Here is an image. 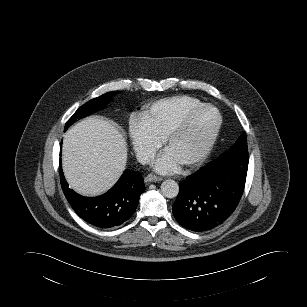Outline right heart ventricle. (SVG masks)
Segmentation results:
<instances>
[{"label":"right heart ventricle","mask_w":307,"mask_h":307,"mask_svg":"<svg viewBox=\"0 0 307 307\" xmlns=\"http://www.w3.org/2000/svg\"><path fill=\"white\" fill-rule=\"evenodd\" d=\"M199 103V99L189 95L163 98L146 107L142 121L148 130L162 141L182 114Z\"/></svg>","instance_id":"obj_1"}]
</instances>
